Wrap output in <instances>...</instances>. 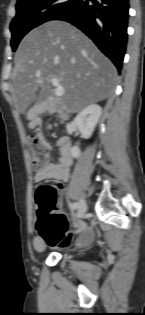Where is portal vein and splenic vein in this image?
Segmentation results:
<instances>
[{
  "label": "portal vein and splenic vein",
  "instance_id": "1",
  "mask_svg": "<svg viewBox=\"0 0 145 315\" xmlns=\"http://www.w3.org/2000/svg\"><path fill=\"white\" fill-rule=\"evenodd\" d=\"M38 82H40V80H37ZM52 84L55 86V95L57 97H61L64 95L65 89L64 87L60 84L59 80L56 78L52 79Z\"/></svg>",
  "mask_w": 145,
  "mask_h": 315
}]
</instances>
